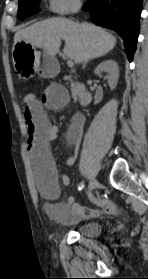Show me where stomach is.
I'll use <instances>...</instances> for the list:
<instances>
[{"label":"stomach","instance_id":"1","mask_svg":"<svg viewBox=\"0 0 148 279\" xmlns=\"http://www.w3.org/2000/svg\"><path fill=\"white\" fill-rule=\"evenodd\" d=\"M12 59L15 70L23 77L29 75L52 77L58 71V62L54 57L45 52L41 53L24 41L15 44Z\"/></svg>","mask_w":148,"mask_h":279}]
</instances>
